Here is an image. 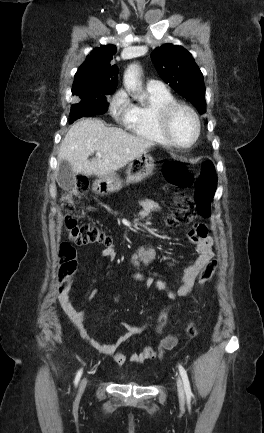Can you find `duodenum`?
Returning a JSON list of instances; mask_svg holds the SVG:
<instances>
[{
	"label": "duodenum",
	"mask_w": 264,
	"mask_h": 433,
	"mask_svg": "<svg viewBox=\"0 0 264 433\" xmlns=\"http://www.w3.org/2000/svg\"><path fill=\"white\" fill-rule=\"evenodd\" d=\"M140 257H141L144 261H149V259H150L149 250H146V251H144L142 254H140Z\"/></svg>",
	"instance_id": "duodenum-1"
}]
</instances>
